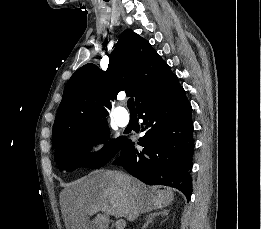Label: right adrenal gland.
I'll use <instances>...</instances> for the list:
<instances>
[{
    "label": "right adrenal gland",
    "mask_w": 261,
    "mask_h": 229,
    "mask_svg": "<svg viewBox=\"0 0 261 229\" xmlns=\"http://www.w3.org/2000/svg\"><path fill=\"white\" fill-rule=\"evenodd\" d=\"M159 215H169V211H165V209H161L160 213H149L146 217V223H144L142 229H146L150 223H153L155 221L156 217H159Z\"/></svg>",
    "instance_id": "1"
}]
</instances>
